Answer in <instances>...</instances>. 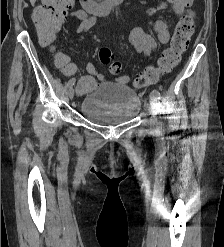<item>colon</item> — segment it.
Segmentation results:
<instances>
[{
    "label": "colon",
    "instance_id": "colon-1",
    "mask_svg": "<svg viewBox=\"0 0 224 247\" xmlns=\"http://www.w3.org/2000/svg\"><path fill=\"white\" fill-rule=\"evenodd\" d=\"M43 2V5L34 9L33 22L42 40L46 43H52L68 10L72 8L74 0H43ZM194 28L195 22L192 16L190 14L183 15L176 25L169 47L163 51L157 66L149 67L139 75L134 81L135 86L144 87L156 80L161 73L172 70L188 48ZM99 60L102 64L109 66L112 75L117 76L121 73V63L114 60L109 48L103 47L100 49ZM62 66L67 75H73L76 72V66L73 63L63 62ZM78 85L80 91L83 92L92 89L96 82L90 77H82Z\"/></svg>",
    "mask_w": 224,
    "mask_h": 247
}]
</instances>
